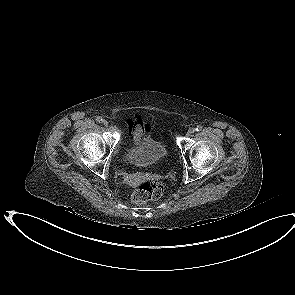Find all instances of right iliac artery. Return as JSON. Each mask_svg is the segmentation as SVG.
<instances>
[{
	"instance_id": "obj_1",
	"label": "right iliac artery",
	"mask_w": 295,
	"mask_h": 295,
	"mask_svg": "<svg viewBox=\"0 0 295 295\" xmlns=\"http://www.w3.org/2000/svg\"><path fill=\"white\" fill-rule=\"evenodd\" d=\"M96 121L99 122V123H102V122H103V119H102V117L98 116V117L96 118Z\"/></svg>"
}]
</instances>
